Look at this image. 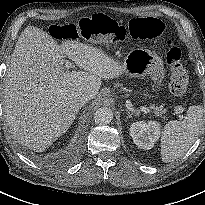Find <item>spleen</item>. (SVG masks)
<instances>
[{
	"label": "spleen",
	"instance_id": "3e777b00",
	"mask_svg": "<svg viewBox=\"0 0 205 205\" xmlns=\"http://www.w3.org/2000/svg\"><path fill=\"white\" fill-rule=\"evenodd\" d=\"M204 113L202 106H191L183 121H170L164 126L160 153L163 162L179 158L193 145L200 133Z\"/></svg>",
	"mask_w": 205,
	"mask_h": 205
}]
</instances>
